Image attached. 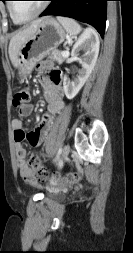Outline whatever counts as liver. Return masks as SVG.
Returning <instances> with one entry per match:
<instances>
[{
    "instance_id": "6515ba94",
    "label": "liver",
    "mask_w": 133,
    "mask_h": 253,
    "mask_svg": "<svg viewBox=\"0 0 133 253\" xmlns=\"http://www.w3.org/2000/svg\"><path fill=\"white\" fill-rule=\"evenodd\" d=\"M43 19L44 18L33 21L29 26L20 30L11 38L8 52L14 67L16 66L17 56L20 48L30 37L34 35Z\"/></svg>"
}]
</instances>
